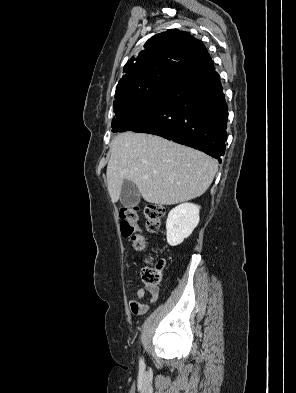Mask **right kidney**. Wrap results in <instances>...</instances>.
<instances>
[{
	"label": "right kidney",
	"mask_w": 296,
	"mask_h": 393,
	"mask_svg": "<svg viewBox=\"0 0 296 393\" xmlns=\"http://www.w3.org/2000/svg\"><path fill=\"white\" fill-rule=\"evenodd\" d=\"M200 207L193 203H183L173 208L167 218V242L170 246L181 244L199 223Z\"/></svg>",
	"instance_id": "right-kidney-1"
}]
</instances>
